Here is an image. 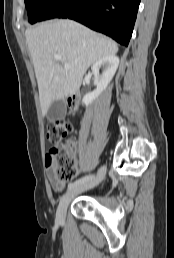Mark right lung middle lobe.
I'll return each mask as SVG.
<instances>
[{"instance_id": "obj_1", "label": "right lung middle lobe", "mask_w": 174, "mask_h": 258, "mask_svg": "<svg viewBox=\"0 0 174 258\" xmlns=\"http://www.w3.org/2000/svg\"><path fill=\"white\" fill-rule=\"evenodd\" d=\"M31 24L42 20L44 13L53 0H24Z\"/></svg>"}]
</instances>
